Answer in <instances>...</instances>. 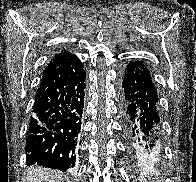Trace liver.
Listing matches in <instances>:
<instances>
[{
	"label": "liver",
	"mask_w": 196,
	"mask_h": 182,
	"mask_svg": "<svg viewBox=\"0 0 196 182\" xmlns=\"http://www.w3.org/2000/svg\"><path fill=\"white\" fill-rule=\"evenodd\" d=\"M61 175L55 170L33 168L27 176L26 182H60Z\"/></svg>",
	"instance_id": "liver-1"
}]
</instances>
